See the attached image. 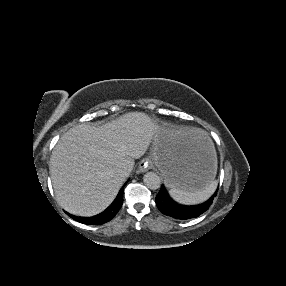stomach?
<instances>
[{
  "label": "stomach",
  "instance_id": "1",
  "mask_svg": "<svg viewBox=\"0 0 286 286\" xmlns=\"http://www.w3.org/2000/svg\"><path fill=\"white\" fill-rule=\"evenodd\" d=\"M153 161L169 187L188 191L206 188L217 173V156L207 135L169 123L153 139Z\"/></svg>",
  "mask_w": 286,
  "mask_h": 286
}]
</instances>
